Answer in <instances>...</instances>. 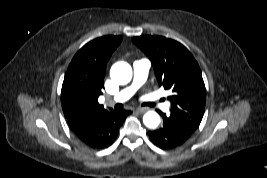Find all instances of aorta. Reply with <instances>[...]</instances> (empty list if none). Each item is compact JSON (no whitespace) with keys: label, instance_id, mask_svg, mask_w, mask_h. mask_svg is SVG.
<instances>
[{"label":"aorta","instance_id":"aorta-1","mask_svg":"<svg viewBox=\"0 0 267 178\" xmlns=\"http://www.w3.org/2000/svg\"><path fill=\"white\" fill-rule=\"evenodd\" d=\"M111 79L124 85L132 79V68L124 61L116 62L110 70ZM143 123L150 129H155L160 124V116L155 111H148L143 116Z\"/></svg>","mask_w":267,"mask_h":178}]
</instances>
